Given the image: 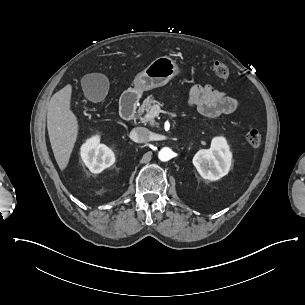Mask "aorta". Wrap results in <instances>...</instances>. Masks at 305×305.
Here are the masks:
<instances>
[{"mask_svg":"<svg viewBox=\"0 0 305 305\" xmlns=\"http://www.w3.org/2000/svg\"><path fill=\"white\" fill-rule=\"evenodd\" d=\"M158 157L161 161H169L173 157V151L169 147H163L159 153Z\"/></svg>","mask_w":305,"mask_h":305,"instance_id":"762f6f07","label":"aorta"}]
</instances>
